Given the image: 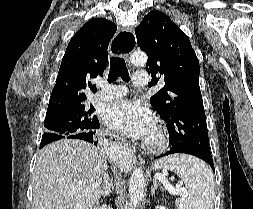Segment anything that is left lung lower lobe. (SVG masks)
<instances>
[{
  "label": "left lung lower lobe",
  "instance_id": "left-lung-lower-lobe-1",
  "mask_svg": "<svg viewBox=\"0 0 253 209\" xmlns=\"http://www.w3.org/2000/svg\"><path fill=\"white\" fill-rule=\"evenodd\" d=\"M174 153H186V154L194 155V156H196V157L204 160L205 162H207L211 166V168L213 169V171L215 172V170H214V164H213V161H212V156L211 155H207V154H202V153L194 152V151H177V150L170 149L165 154H162L160 156L155 157V159H157L159 157H162V156L169 155V154H174Z\"/></svg>",
  "mask_w": 253,
  "mask_h": 209
}]
</instances>
